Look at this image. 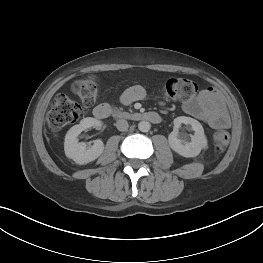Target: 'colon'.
I'll use <instances>...</instances> for the list:
<instances>
[{"mask_svg": "<svg viewBox=\"0 0 263 263\" xmlns=\"http://www.w3.org/2000/svg\"><path fill=\"white\" fill-rule=\"evenodd\" d=\"M73 93L82 101L84 106L93 104L98 97V85L93 77L76 81L72 86ZM198 91L197 84L187 78H170L164 85V94L168 99L187 102L194 98ZM84 113V107L66 95L54 98L47 116L48 125L59 130L76 122ZM216 150H223L229 143V134L218 130L212 136Z\"/></svg>", "mask_w": 263, "mask_h": 263, "instance_id": "obj_1", "label": "colon"}]
</instances>
